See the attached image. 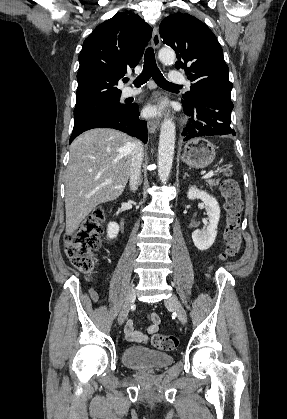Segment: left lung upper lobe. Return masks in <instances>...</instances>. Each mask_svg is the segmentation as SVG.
<instances>
[{"instance_id":"1","label":"left lung upper lobe","mask_w":287,"mask_h":419,"mask_svg":"<svg viewBox=\"0 0 287 419\" xmlns=\"http://www.w3.org/2000/svg\"><path fill=\"white\" fill-rule=\"evenodd\" d=\"M159 32L163 43L176 52V68L184 69L192 82L183 104L192 105L204 95L230 97L232 83L222 48L203 22L190 14L176 13L161 22Z\"/></svg>"}]
</instances>
